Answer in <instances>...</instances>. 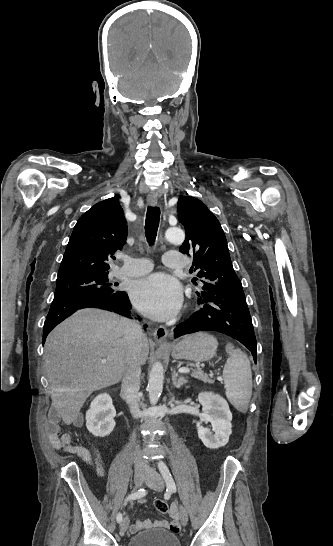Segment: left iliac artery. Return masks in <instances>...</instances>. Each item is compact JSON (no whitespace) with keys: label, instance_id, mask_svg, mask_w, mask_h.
<instances>
[{"label":"left iliac artery","instance_id":"1","mask_svg":"<svg viewBox=\"0 0 333 546\" xmlns=\"http://www.w3.org/2000/svg\"><path fill=\"white\" fill-rule=\"evenodd\" d=\"M158 467H159L160 473L162 474L166 482L168 490L171 492H176V484L171 476V473L167 465L163 461H160L158 464Z\"/></svg>","mask_w":333,"mask_h":546}]
</instances>
